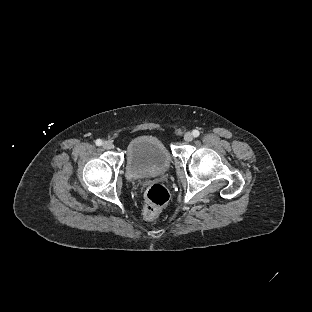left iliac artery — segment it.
I'll return each mask as SVG.
<instances>
[{
    "label": "left iliac artery",
    "mask_w": 312,
    "mask_h": 312,
    "mask_svg": "<svg viewBox=\"0 0 312 312\" xmlns=\"http://www.w3.org/2000/svg\"><path fill=\"white\" fill-rule=\"evenodd\" d=\"M192 134L194 137H198L200 133L198 130H193Z\"/></svg>",
    "instance_id": "obj_1"
}]
</instances>
